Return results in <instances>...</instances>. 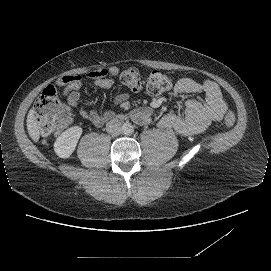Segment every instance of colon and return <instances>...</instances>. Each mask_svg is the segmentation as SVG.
<instances>
[{"mask_svg": "<svg viewBox=\"0 0 271 271\" xmlns=\"http://www.w3.org/2000/svg\"><path fill=\"white\" fill-rule=\"evenodd\" d=\"M121 82L130 90L140 89V72L135 67H129L120 74ZM173 86L172 79L159 70H151L146 80V90L150 95H158L170 90ZM34 122L43 136L50 135L56 130H61L69 123L67 108L62 104L53 86L43 89L36 100L34 107ZM224 122L231 127L235 124V116L231 111L225 114Z\"/></svg>", "mask_w": 271, "mask_h": 271, "instance_id": "5ec220e1", "label": "colon"}]
</instances>
